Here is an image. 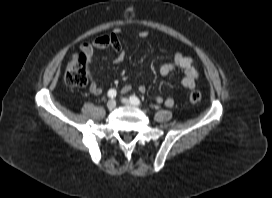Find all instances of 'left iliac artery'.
I'll return each mask as SVG.
<instances>
[{"label":"left iliac artery","instance_id":"44dca946","mask_svg":"<svg viewBox=\"0 0 272 198\" xmlns=\"http://www.w3.org/2000/svg\"><path fill=\"white\" fill-rule=\"evenodd\" d=\"M130 101L134 105H140L141 104L140 100L136 96H130Z\"/></svg>","mask_w":272,"mask_h":198}]
</instances>
